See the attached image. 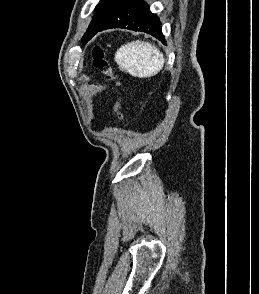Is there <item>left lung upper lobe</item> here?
Wrapping results in <instances>:
<instances>
[{
  "label": "left lung upper lobe",
  "instance_id": "obj_1",
  "mask_svg": "<svg viewBox=\"0 0 259 294\" xmlns=\"http://www.w3.org/2000/svg\"><path fill=\"white\" fill-rule=\"evenodd\" d=\"M128 0H100V3L96 6V13L83 36V44H86L103 24L110 13L119 5L125 3Z\"/></svg>",
  "mask_w": 259,
  "mask_h": 294
}]
</instances>
